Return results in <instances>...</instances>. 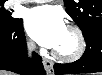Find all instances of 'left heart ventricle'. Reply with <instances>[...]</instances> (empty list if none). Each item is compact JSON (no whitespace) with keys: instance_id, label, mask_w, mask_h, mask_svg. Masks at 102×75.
Segmentation results:
<instances>
[{"instance_id":"obj_1","label":"left heart ventricle","mask_w":102,"mask_h":75,"mask_svg":"<svg viewBox=\"0 0 102 75\" xmlns=\"http://www.w3.org/2000/svg\"><path fill=\"white\" fill-rule=\"evenodd\" d=\"M77 44L76 36L68 29H65L58 45L54 49L63 54H71L76 50Z\"/></svg>"}]
</instances>
